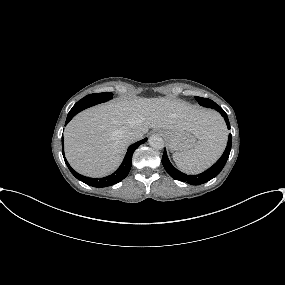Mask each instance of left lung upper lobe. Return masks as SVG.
Here are the masks:
<instances>
[{
  "mask_svg": "<svg viewBox=\"0 0 285 285\" xmlns=\"http://www.w3.org/2000/svg\"><path fill=\"white\" fill-rule=\"evenodd\" d=\"M195 99L201 106L213 108L215 110L217 107H219L214 101H212L208 98L195 97Z\"/></svg>",
  "mask_w": 285,
  "mask_h": 285,
  "instance_id": "5c2ea615",
  "label": "left lung upper lobe"
}]
</instances>
